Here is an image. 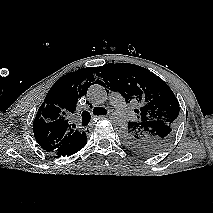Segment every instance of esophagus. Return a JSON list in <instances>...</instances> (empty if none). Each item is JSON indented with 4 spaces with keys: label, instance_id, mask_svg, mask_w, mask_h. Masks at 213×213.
Masks as SVG:
<instances>
[{
    "label": "esophagus",
    "instance_id": "esophagus-1",
    "mask_svg": "<svg viewBox=\"0 0 213 213\" xmlns=\"http://www.w3.org/2000/svg\"><path fill=\"white\" fill-rule=\"evenodd\" d=\"M102 118H104V116H96L95 118H94V120L96 119V120H99V119H102ZM94 121L93 122H91L90 124H89V126L87 127V129L88 130H91L92 128H93V126H94Z\"/></svg>",
    "mask_w": 213,
    "mask_h": 213
}]
</instances>
